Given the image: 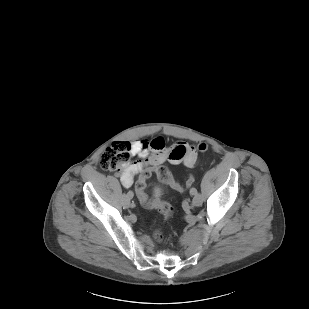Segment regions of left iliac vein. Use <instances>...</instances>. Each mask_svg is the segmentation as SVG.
<instances>
[{"mask_svg":"<svg viewBox=\"0 0 309 309\" xmlns=\"http://www.w3.org/2000/svg\"><path fill=\"white\" fill-rule=\"evenodd\" d=\"M203 202V197L201 194L197 193L194 195L193 200H192V204L193 206H200Z\"/></svg>","mask_w":309,"mask_h":309,"instance_id":"4c4485c4","label":"left iliac vein"}]
</instances>
